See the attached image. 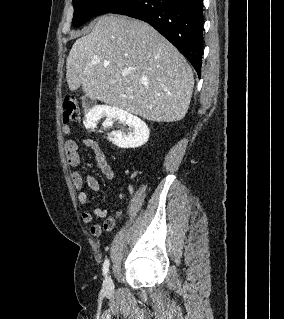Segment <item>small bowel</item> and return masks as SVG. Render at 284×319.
<instances>
[{"mask_svg":"<svg viewBox=\"0 0 284 319\" xmlns=\"http://www.w3.org/2000/svg\"><path fill=\"white\" fill-rule=\"evenodd\" d=\"M72 128L69 125L63 127V133L69 135ZM84 144L91 149L94 155L95 163L100 172L109 180L115 178V173L107 161L106 154L99 143L93 139L87 138ZM66 159L68 164L75 168L71 171V179L74 189L77 192V198L80 204L85 205L89 202V191L96 192L99 190V182L92 175L82 176L78 169L81 164L78 144L73 139H67L64 144ZM86 187V189H85ZM123 198V195L120 196ZM122 211L118 210L114 215L109 216L106 209L96 207L92 212L84 211L81 214L83 223L90 224V232L95 237H100L103 232H110L114 229ZM96 218L103 219V223L96 222Z\"/></svg>","mask_w":284,"mask_h":319,"instance_id":"obj_1","label":"small bowel"}]
</instances>
